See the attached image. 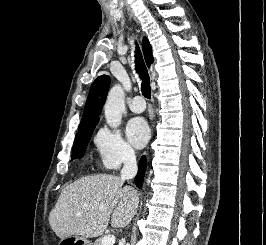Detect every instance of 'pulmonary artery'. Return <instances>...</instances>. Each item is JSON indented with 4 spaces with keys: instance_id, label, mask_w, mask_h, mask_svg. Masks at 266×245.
<instances>
[{
    "instance_id": "1",
    "label": "pulmonary artery",
    "mask_w": 266,
    "mask_h": 245,
    "mask_svg": "<svg viewBox=\"0 0 266 245\" xmlns=\"http://www.w3.org/2000/svg\"><path fill=\"white\" fill-rule=\"evenodd\" d=\"M137 99H142V98L140 96H136L128 103V107L134 113H141L145 110L146 105L143 100H137Z\"/></svg>"
}]
</instances>
